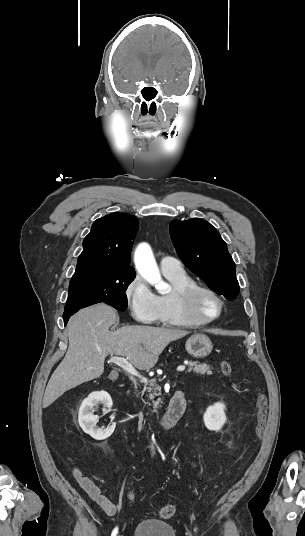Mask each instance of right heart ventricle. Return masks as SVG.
<instances>
[{"instance_id": "obj_1", "label": "right heart ventricle", "mask_w": 305, "mask_h": 536, "mask_svg": "<svg viewBox=\"0 0 305 536\" xmlns=\"http://www.w3.org/2000/svg\"><path fill=\"white\" fill-rule=\"evenodd\" d=\"M170 281L172 290L168 294L158 296L159 314L158 323L164 327L189 326V322L181 315L174 302V293L182 288L198 284L197 281L185 271L181 273H163Z\"/></svg>"}]
</instances>
